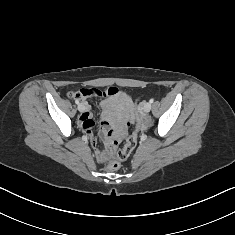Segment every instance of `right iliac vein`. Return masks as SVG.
<instances>
[{
    "label": "right iliac vein",
    "mask_w": 235,
    "mask_h": 235,
    "mask_svg": "<svg viewBox=\"0 0 235 235\" xmlns=\"http://www.w3.org/2000/svg\"><path fill=\"white\" fill-rule=\"evenodd\" d=\"M84 105L83 104H79L78 105V110L80 111V112H83L84 111Z\"/></svg>",
    "instance_id": "obj_1"
}]
</instances>
